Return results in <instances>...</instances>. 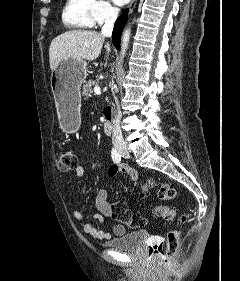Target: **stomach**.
<instances>
[{
    "label": "stomach",
    "instance_id": "1",
    "mask_svg": "<svg viewBox=\"0 0 240 281\" xmlns=\"http://www.w3.org/2000/svg\"><path fill=\"white\" fill-rule=\"evenodd\" d=\"M87 76V63L84 60L66 59L51 75V88L62 129L75 132L81 124L82 83Z\"/></svg>",
    "mask_w": 240,
    "mask_h": 281
}]
</instances>
